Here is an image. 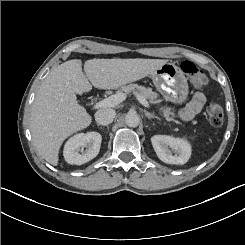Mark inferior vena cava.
<instances>
[{
    "instance_id": "obj_1",
    "label": "inferior vena cava",
    "mask_w": 245,
    "mask_h": 245,
    "mask_svg": "<svg viewBox=\"0 0 245 245\" xmlns=\"http://www.w3.org/2000/svg\"><path fill=\"white\" fill-rule=\"evenodd\" d=\"M116 112L111 108H101L95 113V120L98 124L106 125L111 123L115 118Z\"/></svg>"
}]
</instances>
